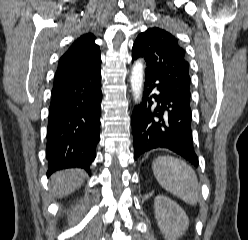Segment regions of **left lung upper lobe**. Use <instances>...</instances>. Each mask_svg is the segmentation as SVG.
Returning <instances> with one entry per match:
<instances>
[{
	"instance_id": "obj_1",
	"label": "left lung upper lobe",
	"mask_w": 248,
	"mask_h": 240,
	"mask_svg": "<svg viewBox=\"0 0 248 240\" xmlns=\"http://www.w3.org/2000/svg\"><path fill=\"white\" fill-rule=\"evenodd\" d=\"M144 58L146 74L157 78L183 98L190 99L189 63L178 39L164 29L149 28L134 42L132 58Z\"/></svg>"
}]
</instances>
